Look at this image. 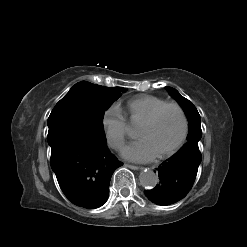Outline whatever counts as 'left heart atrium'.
I'll return each instance as SVG.
<instances>
[{"label": "left heart atrium", "instance_id": "left-heart-atrium-1", "mask_svg": "<svg viewBox=\"0 0 247 247\" xmlns=\"http://www.w3.org/2000/svg\"><path fill=\"white\" fill-rule=\"evenodd\" d=\"M122 156L135 162H148L155 158L156 153L147 140L140 138L127 144L122 149Z\"/></svg>", "mask_w": 247, "mask_h": 247}]
</instances>
